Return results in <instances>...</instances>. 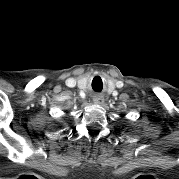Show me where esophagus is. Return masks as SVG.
I'll return each mask as SVG.
<instances>
[{
  "label": "esophagus",
  "instance_id": "34e87169",
  "mask_svg": "<svg viewBox=\"0 0 179 179\" xmlns=\"http://www.w3.org/2000/svg\"><path fill=\"white\" fill-rule=\"evenodd\" d=\"M93 100H94V102H95L96 104H103V103H104V98H103V96L100 95V94H96V95L94 96Z\"/></svg>",
  "mask_w": 179,
  "mask_h": 179
}]
</instances>
